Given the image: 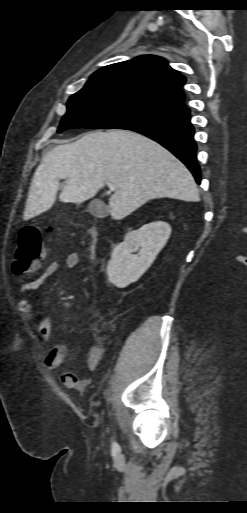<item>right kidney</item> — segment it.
Masks as SVG:
<instances>
[{
    "instance_id": "right-kidney-1",
    "label": "right kidney",
    "mask_w": 247,
    "mask_h": 513,
    "mask_svg": "<svg viewBox=\"0 0 247 513\" xmlns=\"http://www.w3.org/2000/svg\"><path fill=\"white\" fill-rule=\"evenodd\" d=\"M171 234L168 223L156 221L129 232L112 252L107 265L109 281L124 288L137 281L151 266ZM138 252L137 254H132Z\"/></svg>"
}]
</instances>
